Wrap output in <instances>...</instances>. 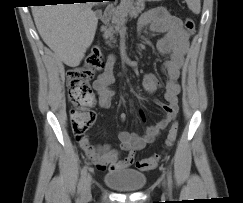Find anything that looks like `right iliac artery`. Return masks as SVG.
<instances>
[{
    "label": "right iliac artery",
    "instance_id": "obj_1",
    "mask_svg": "<svg viewBox=\"0 0 243 203\" xmlns=\"http://www.w3.org/2000/svg\"><path fill=\"white\" fill-rule=\"evenodd\" d=\"M86 176H87V166H84L81 171V178H80V182H79V189L81 191V197H83V195H84Z\"/></svg>",
    "mask_w": 243,
    "mask_h": 203
}]
</instances>
